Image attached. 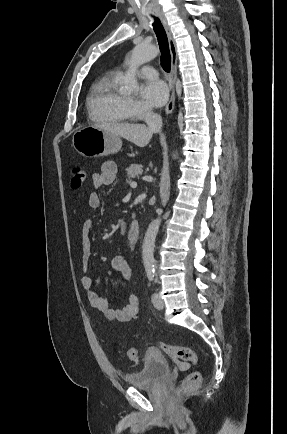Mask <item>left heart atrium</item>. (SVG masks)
<instances>
[{
    "mask_svg": "<svg viewBox=\"0 0 287 434\" xmlns=\"http://www.w3.org/2000/svg\"><path fill=\"white\" fill-rule=\"evenodd\" d=\"M140 95L148 105L160 107L168 99V88L162 81H151L141 86Z\"/></svg>",
    "mask_w": 287,
    "mask_h": 434,
    "instance_id": "39dd6f15",
    "label": "left heart atrium"
}]
</instances>
